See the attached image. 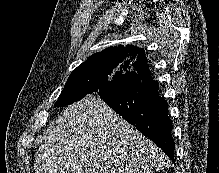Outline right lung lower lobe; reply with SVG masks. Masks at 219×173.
<instances>
[{
	"mask_svg": "<svg viewBox=\"0 0 219 173\" xmlns=\"http://www.w3.org/2000/svg\"><path fill=\"white\" fill-rule=\"evenodd\" d=\"M148 65L129 73L120 86L100 97L120 116L151 139L174 162L175 144L168 104L158 94Z\"/></svg>",
	"mask_w": 219,
	"mask_h": 173,
	"instance_id": "right-lung-lower-lobe-1",
	"label": "right lung lower lobe"
}]
</instances>
